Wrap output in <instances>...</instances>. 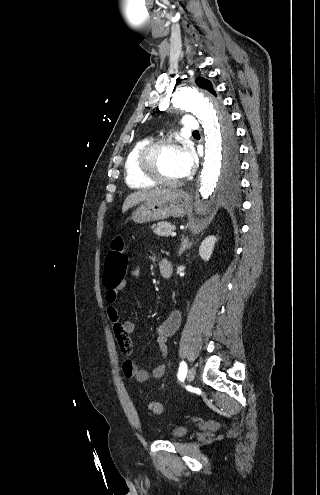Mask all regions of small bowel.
Instances as JSON below:
<instances>
[{
    "mask_svg": "<svg viewBox=\"0 0 320 495\" xmlns=\"http://www.w3.org/2000/svg\"><path fill=\"white\" fill-rule=\"evenodd\" d=\"M132 275L134 277H138L139 270L137 268L134 269L132 271ZM124 287V280H122L114 287L106 286L107 290L105 296L106 302L108 304L106 309L107 317L113 327L121 352L125 356V359L123 361V371L127 377L133 378L140 383L159 379L164 375L165 372V366L163 364H158L151 370H143L137 367L131 357L133 351L131 335L135 331V325L131 321H122L119 312L114 305L117 300L118 292ZM180 321V312L178 310H173L169 314V316L155 329L156 341L163 356H167L169 351L166 343L167 339L176 332L180 325Z\"/></svg>",
    "mask_w": 320,
    "mask_h": 495,
    "instance_id": "small-bowel-1",
    "label": "small bowel"
}]
</instances>
